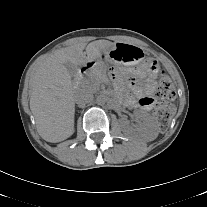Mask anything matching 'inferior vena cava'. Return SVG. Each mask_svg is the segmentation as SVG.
Masks as SVG:
<instances>
[{
  "label": "inferior vena cava",
  "instance_id": "602c4592",
  "mask_svg": "<svg viewBox=\"0 0 207 207\" xmlns=\"http://www.w3.org/2000/svg\"><path fill=\"white\" fill-rule=\"evenodd\" d=\"M93 94L88 89H80L76 92L75 95V102L80 106L83 107L86 104L93 101Z\"/></svg>",
  "mask_w": 207,
  "mask_h": 207
}]
</instances>
